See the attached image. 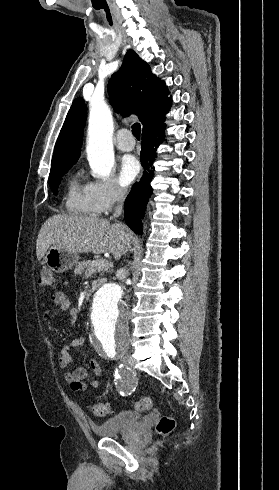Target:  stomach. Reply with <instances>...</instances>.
Masks as SVG:
<instances>
[{"instance_id":"1","label":"stomach","mask_w":279,"mask_h":490,"mask_svg":"<svg viewBox=\"0 0 279 490\" xmlns=\"http://www.w3.org/2000/svg\"><path fill=\"white\" fill-rule=\"evenodd\" d=\"M44 260L45 264H47L52 272L63 274V272L71 270V268L77 264L79 256L78 254H75V252L65 250V248H55V246H52V248H49L48 252H46Z\"/></svg>"}]
</instances>
